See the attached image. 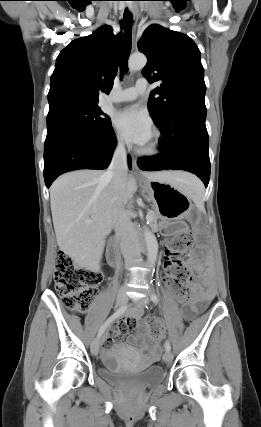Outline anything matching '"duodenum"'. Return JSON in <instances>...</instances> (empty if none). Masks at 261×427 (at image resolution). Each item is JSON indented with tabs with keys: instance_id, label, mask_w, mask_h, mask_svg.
Instances as JSON below:
<instances>
[{
	"instance_id": "1",
	"label": "duodenum",
	"mask_w": 261,
	"mask_h": 427,
	"mask_svg": "<svg viewBox=\"0 0 261 427\" xmlns=\"http://www.w3.org/2000/svg\"><path fill=\"white\" fill-rule=\"evenodd\" d=\"M109 264L113 267L119 265L120 255H119V240L117 238L112 239L111 241V249L109 252Z\"/></svg>"
}]
</instances>
